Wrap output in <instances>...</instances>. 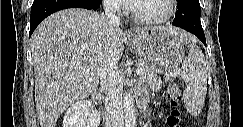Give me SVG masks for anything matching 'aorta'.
<instances>
[{
  "label": "aorta",
  "instance_id": "762f6f07",
  "mask_svg": "<svg viewBox=\"0 0 243 127\" xmlns=\"http://www.w3.org/2000/svg\"><path fill=\"white\" fill-rule=\"evenodd\" d=\"M123 109H124V118H125V127H134L135 126V107L134 99L130 93H126L123 99Z\"/></svg>",
  "mask_w": 243,
  "mask_h": 127
}]
</instances>
